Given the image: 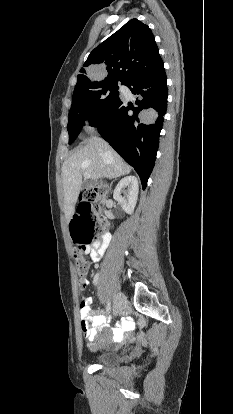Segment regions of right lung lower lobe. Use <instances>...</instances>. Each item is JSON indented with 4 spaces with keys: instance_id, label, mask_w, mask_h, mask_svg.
Here are the masks:
<instances>
[{
    "instance_id": "obj_1",
    "label": "right lung lower lobe",
    "mask_w": 233,
    "mask_h": 414,
    "mask_svg": "<svg viewBox=\"0 0 233 414\" xmlns=\"http://www.w3.org/2000/svg\"><path fill=\"white\" fill-rule=\"evenodd\" d=\"M126 86L139 95L136 106L119 99L90 121L100 135L134 167L145 189L154 167L163 116L167 108V82L164 68L135 78Z\"/></svg>"
}]
</instances>
